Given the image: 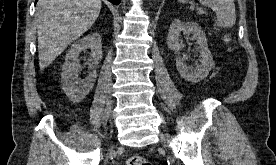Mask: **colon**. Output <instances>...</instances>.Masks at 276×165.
I'll return each instance as SVG.
<instances>
[{
    "label": "colon",
    "mask_w": 276,
    "mask_h": 165,
    "mask_svg": "<svg viewBox=\"0 0 276 165\" xmlns=\"http://www.w3.org/2000/svg\"><path fill=\"white\" fill-rule=\"evenodd\" d=\"M126 165H151V164L141 156H130L126 160Z\"/></svg>",
    "instance_id": "1"
}]
</instances>
